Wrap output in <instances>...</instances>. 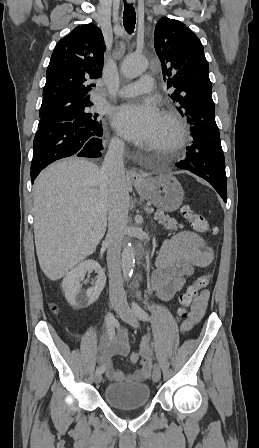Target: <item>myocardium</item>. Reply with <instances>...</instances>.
<instances>
[{
  "instance_id": "obj_1",
  "label": "myocardium",
  "mask_w": 259,
  "mask_h": 448,
  "mask_svg": "<svg viewBox=\"0 0 259 448\" xmlns=\"http://www.w3.org/2000/svg\"><path fill=\"white\" fill-rule=\"evenodd\" d=\"M161 119L172 127V138L161 149L170 153H177L181 148L185 137V124L181 115L172 107H167L161 115Z\"/></svg>"
}]
</instances>
